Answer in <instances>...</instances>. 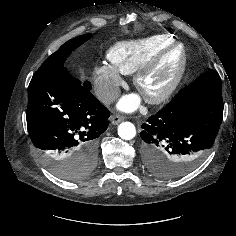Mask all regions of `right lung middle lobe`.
<instances>
[{
  "mask_svg": "<svg viewBox=\"0 0 236 236\" xmlns=\"http://www.w3.org/2000/svg\"><path fill=\"white\" fill-rule=\"evenodd\" d=\"M91 33L78 36L64 43L55 53L50 55L37 71L64 67L69 54L82 43L89 40ZM47 167L56 176L65 180L76 181L85 178L94 168L96 161L92 158L73 161L53 156L44 157Z\"/></svg>",
  "mask_w": 236,
  "mask_h": 236,
  "instance_id": "right-lung-middle-lobe-1",
  "label": "right lung middle lobe"
}]
</instances>
